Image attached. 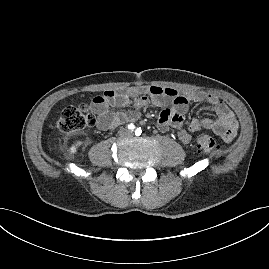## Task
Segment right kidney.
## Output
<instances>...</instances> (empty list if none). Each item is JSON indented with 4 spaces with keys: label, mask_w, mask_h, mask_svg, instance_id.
I'll return each mask as SVG.
<instances>
[{
    "label": "right kidney",
    "mask_w": 269,
    "mask_h": 269,
    "mask_svg": "<svg viewBox=\"0 0 269 269\" xmlns=\"http://www.w3.org/2000/svg\"><path fill=\"white\" fill-rule=\"evenodd\" d=\"M83 144L82 141H77L75 144H73L70 148H69V152L70 154H75L77 152V149L79 146H81Z\"/></svg>",
    "instance_id": "right-kidney-1"
}]
</instances>
